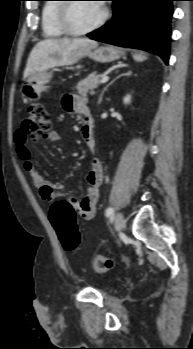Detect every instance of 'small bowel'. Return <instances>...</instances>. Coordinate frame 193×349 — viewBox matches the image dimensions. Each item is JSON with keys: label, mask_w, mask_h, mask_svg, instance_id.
I'll return each instance as SVG.
<instances>
[{"label": "small bowel", "mask_w": 193, "mask_h": 349, "mask_svg": "<svg viewBox=\"0 0 193 349\" xmlns=\"http://www.w3.org/2000/svg\"><path fill=\"white\" fill-rule=\"evenodd\" d=\"M61 103L65 111L83 116L81 136L87 148L90 151H94L95 139L93 124L86 98L78 94H67L62 98ZM49 138L55 141L60 140L59 135L55 132H52ZM15 142L16 151L23 163L24 169L29 174L33 184L46 202L52 204L57 200H66L73 205L79 217L84 220L93 219L96 213L99 188L103 178L102 163L98 157L93 156L91 159V167L86 175L87 193L83 199L79 200L74 196L62 193L63 185L61 183H50L36 170L28 147V139L24 135L22 129L16 131Z\"/></svg>", "instance_id": "small-bowel-1"}]
</instances>
